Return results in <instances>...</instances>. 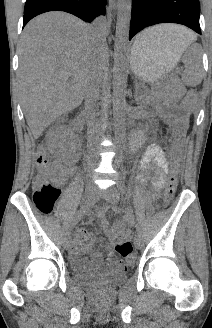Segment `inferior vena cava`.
Instances as JSON below:
<instances>
[{
    "label": "inferior vena cava",
    "instance_id": "1",
    "mask_svg": "<svg viewBox=\"0 0 212 328\" xmlns=\"http://www.w3.org/2000/svg\"><path fill=\"white\" fill-rule=\"evenodd\" d=\"M93 33L100 40L105 31V21L103 17H98L91 26ZM100 88V79L98 74L93 71L90 74L86 91H85V109L84 114L88 121V129H87V139L89 145H93L97 139V135L99 133V123L96 120V114L94 111L95 102L99 95ZM90 165H93V162H90ZM95 167H98V164H95Z\"/></svg>",
    "mask_w": 212,
    "mask_h": 328
}]
</instances>
